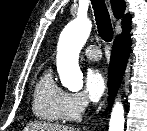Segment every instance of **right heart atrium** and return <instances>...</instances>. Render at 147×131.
<instances>
[{
	"mask_svg": "<svg viewBox=\"0 0 147 131\" xmlns=\"http://www.w3.org/2000/svg\"><path fill=\"white\" fill-rule=\"evenodd\" d=\"M88 107L87 96L82 92H65L61 102L63 121L74 122L81 119Z\"/></svg>",
	"mask_w": 147,
	"mask_h": 131,
	"instance_id": "right-heart-atrium-1",
	"label": "right heart atrium"
}]
</instances>
